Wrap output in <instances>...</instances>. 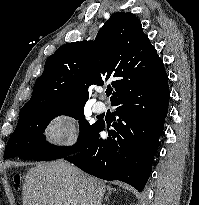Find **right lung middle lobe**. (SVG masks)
<instances>
[{"mask_svg":"<svg viewBox=\"0 0 199 205\" xmlns=\"http://www.w3.org/2000/svg\"><path fill=\"white\" fill-rule=\"evenodd\" d=\"M84 105L54 101L24 105L20 110L15 131L7 143L4 159L18 156L21 159L48 161L79 152L88 143L100 124L98 121L90 124L85 119ZM60 115H67L79 120V137L72 147L51 145L43 135L50 120Z\"/></svg>","mask_w":199,"mask_h":205,"instance_id":"dd1d6c3e","label":"right lung middle lobe"}]
</instances>
